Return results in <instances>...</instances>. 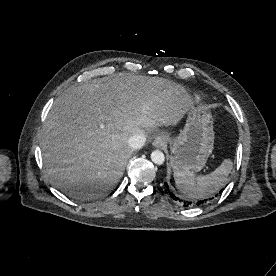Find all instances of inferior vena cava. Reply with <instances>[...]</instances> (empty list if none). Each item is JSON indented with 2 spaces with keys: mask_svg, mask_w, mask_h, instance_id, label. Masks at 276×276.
I'll return each mask as SVG.
<instances>
[{
  "mask_svg": "<svg viewBox=\"0 0 276 276\" xmlns=\"http://www.w3.org/2000/svg\"><path fill=\"white\" fill-rule=\"evenodd\" d=\"M145 142L146 136L144 134H134L128 139L129 147L134 150L142 148Z\"/></svg>",
  "mask_w": 276,
  "mask_h": 276,
  "instance_id": "obj_1",
  "label": "inferior vena cava"
}]
</instances>
